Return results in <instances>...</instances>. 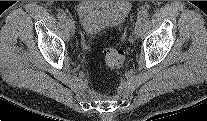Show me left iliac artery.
Returning <instances> with one entry per match:
<instances>
[{
  "label": "left iliac artery",
  "mask_w": 207,
  "mask_h": 121,
  "mask_svg": "<svg viewBox=\"0 0 207 121\" xmlns=\"http://www.w3.org/2000/svg\"><path fill=\"white\" fill-rule=\"evenodd\" d=\"M148 15H149L148 9L143 8L142 10L139 11L137 15V20L143 21L148 17Z\"/></svg>",
  "instance_id": "44dca946"
}]
</instances>
